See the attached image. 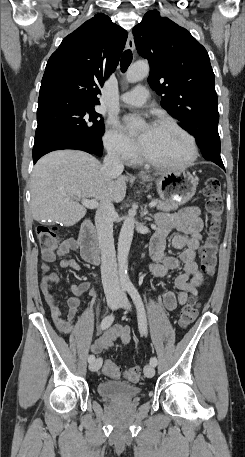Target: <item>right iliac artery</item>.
Instances as JSON below:
<instances>
[{
	"mask_svg": "<svg viewBox=\"0 0 245 457\" xmlns=\"http://www.w3.org/2000/svg\"><path fill=\"white\" fill-rule=\"evenodd\" d=\"M126 289L123 288L122 289V292H124ZM114 321V316L113 314H110L108 316H106L102 322H101V329L104 330V329H107ZM95 360V356L94 355H89L88 357V362L91 363Z\"/></svg>",
	"mask_w": 245,
	"mask_h": 457,
	"instance_id": "82829eb1",
	"label": "right iliac artery"
}]
</instances>
